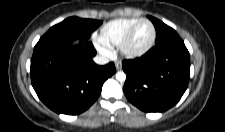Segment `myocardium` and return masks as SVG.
<instances>
[{
  "label": "myocardium",
  "mask_w": 225,
  "mask_h": 132,
  "mask_svg": "<svg viewBox=\"0 0 225 132\" xmlns=\"http://www.w3.org/2000/svg\"><path fill=\"white\" fill-rule=\"evenodd\" d=\"M143 22L148 23L151 26V29H152L151 38L143 47H141L139 49H133L130 47L131 38H132L133 33H134L135 29L137 28V26ZM155 39H156L155 26L153 25V23L150 20H148L146 18H142V19H138L127 30V32L125 33V35L123 36V38L119 44V48H120V51L122 52V54L125 55L126 57L137 58V57L143 56L152 48V46L155 42Z\"/></svg>",
  "instance_id": "myocardium-1"
}]
</instances>
